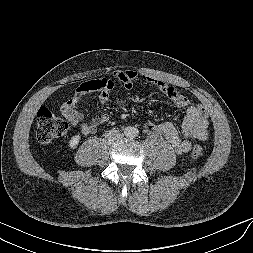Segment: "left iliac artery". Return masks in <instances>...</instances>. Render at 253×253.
<instances>
[{
  "mask_svg": "<svg viewBox=\"0 0 253 253\" xmlns=\"http://www.w3.org/2000/svg\"><path fill=\"white\" fill-rule=\"evenodd\" d=\"M138 135V131L137 130H134L133 131V134H132V137H136Z\"/></svg>",
  "mask_w": 253,
  "mask_h": 253,
  "instance_id": "obj_1",
  "label": "left iliac artery"
}]
</instances>
